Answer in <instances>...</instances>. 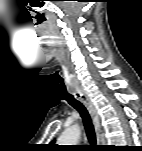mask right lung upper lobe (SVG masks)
Returning <instances> with one entry per match:
<instances>
[{"instance_id": "cb5924a9", "label": "right lung upper lobe", "mask_w": 142, "mask_h": 151, "mask_svg": "<svg viewBox=\"0 0 142 151\" xmlns=\"http://www.w3.org/2000/svg\"><path fill=\"white\" fill-rule=\"evenodd\" d=\"M53 142H54V141H52L50 145H51L52 147H55V145L53 144Z\"/></svg>"}]
</instances>
